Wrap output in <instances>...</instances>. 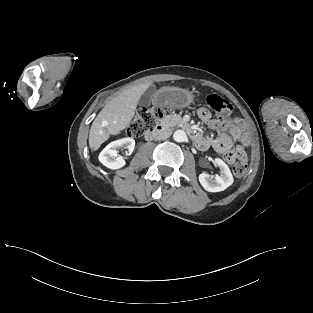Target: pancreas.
I'll list each match as a JSON object with an SVG mask.
<instances>
[{"mask_svg": "<svg viewBox=\"0 0 313 313\" xmlns=\"http://www.w3.org/2000/svg\"><path fill=\"white\" fill-rule=\"evenodd\" d=\"M162 123L168 127H174L177 125H183V119L181 116L176 114L167 115L163 118Z\"/></svg>", "mask_w": 313, "mask_h": 313, "instance_id": "pancreas-1", "label": "pancreas"}]
</instances>
